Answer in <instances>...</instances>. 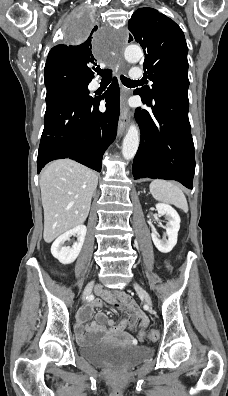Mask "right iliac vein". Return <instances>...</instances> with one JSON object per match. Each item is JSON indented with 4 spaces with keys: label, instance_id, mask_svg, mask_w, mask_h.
I'll use <instances>...</instances> for the list:
<instances>
[{
    "label": "right iliac vein",
    "instance_id": "1",
    "mask_svg": "<svg viewBox=\"0 0 228 396\" xmlns=\"http://www.w3.org/2000/svg\"><path fill=\"white\" fill-rule=\"evenodd\" d=\"M94 286V281H91L87 284V286L85 287L83 294H82V300L84 301L87 296L91 293L92 288Z\"/></svg>",
    "mask_w": 228,
    "mask_h": 396
}]
</instances>
